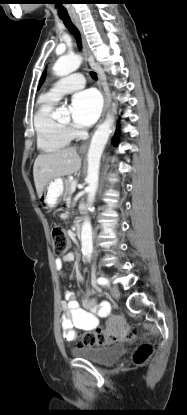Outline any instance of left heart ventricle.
<instances>
[{
  "label": "left heart ventricle",
  "instance_id": "b2bd125f",
  "mask_svg": "<svg viewBox=\"0 0 187 415\" xmlns=\"http://www.w3.org/2000/svg\"><path fill=\"white\" fill-rule=\"evenodd\" d=\"M68 123H69V117L65 118V119L62 121V124H68Z\"/></svg>",
  "mask_w": 187,
  "mask_h": 415
}]
</instances>
